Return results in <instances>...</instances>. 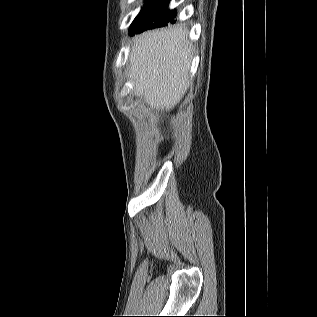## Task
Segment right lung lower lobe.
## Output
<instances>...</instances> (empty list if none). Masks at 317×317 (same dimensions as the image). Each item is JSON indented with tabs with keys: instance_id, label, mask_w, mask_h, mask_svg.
<instances>
[{
	"instance_id": "1",
	"label": "right lung lower lobe",
	"mask_w": 317,
	"mask_h": 317,
	"mask_svg": "<svg viewBox=\"0 0 317 317\" xmlns=\"http://www.w3.org/2000/svg\"><path fill=\"white\" fill-rule=\"evenodd\" d=\"M147 29H152V28L149 27V28H147ZM147 29H146V30H147ZM140 32H143V31H140ZM140 32H137V33H140ZM134 34H135V33H131V35H134Z\"/></svg>"
}]
</instances>
